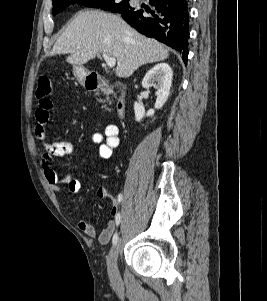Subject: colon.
I'll list each match as a JSON object with an SVG mask.
<instances>
[{"label":"colon","instance_id":"obj_1","mask_svg":"<svg viewBox=\"0 0 267 301\" xmlns=\"http://www.w3.org/2000/svg\"><path fill=\"white\" fill-rule=\"evenodd\" d=\"M53 92V85L51 80L46 77L42 76L38 80L36 95L38 98H47L51 96Z\"/></svg>","mask_w":267,"mask_h":301}]
</instances>
